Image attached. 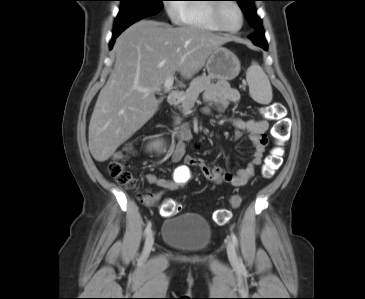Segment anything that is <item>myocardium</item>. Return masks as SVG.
I'll return each mask as SVG.
<instances>
[{
  "label": "myocardium",
  "instance_id": "obj_1",
  "mask_svg": "<svg viewBox=\"0 0 365 299\" xmlns=\"http://www.w3.org/2000/svg\"><path fill=\"white\" fill-rule=\"evenodd\" d=\"M218 1H221V2L215 3L214 7H213V11H212V19H213L214 23L216 24V26L218 27V29L225 33L239 32L245 23V14H244V11H243V8L241 7V5L236 0H218ZM229 3L233 4L238 9V11L240 13V17H241V23H240L239 27L235 28V29L227 28L221 22V14H222L223 8L226 4H229Z\"/></svg>",
  "mask_w": 365,
  "mask_h": 299
}]
</instances>
